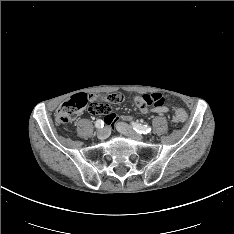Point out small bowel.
<instances>
[{
    "label": "small bowel",
    "mask_w": 234,
    "mask_h": 234,
    "mask_svg": "<svg viewBox=\"0 0 234 234\" xmlns=\"http://www.w3.org/2000/svg\"><path fill=\"white\" fill-rule=\"evenodd\" d=\"M124 98L122 93L111 94V95H97L90 94L87 97V109L89 113L96 115L99 114L103 117V124L106 127H113L116 124L118 119L117 115L114 114V107L111 104L113 102H120ZM167 98L165 94L161 92H155L153 94H134L131 97V104L141 110L144 113H147L148 109H153L152 112L156 114H167L170 110L169 105H165ZM125 120H128L127 116L122 117Z\"/></svg>",
    "instance_id": "small-bowel-1"
}]
</instances>
